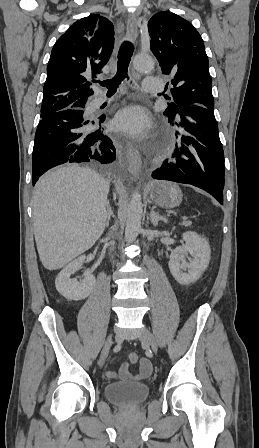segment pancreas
Segmentation results:
<instances>
[{
    "instance_id": "pancreas-1",
    "label": "pancreas",
    "mask_w": 259,
    "mask_h": 448,
    "mask_svg": "<svg viewBox=\"0 0 259 448\" xmlns=\"http://www.w3.org/2000/svg\"><path fill=\"white\" fill-rule=\"evenodd\" d=\"M181 226H191V222H182Z\"/></svg>"
}]
</instances>
